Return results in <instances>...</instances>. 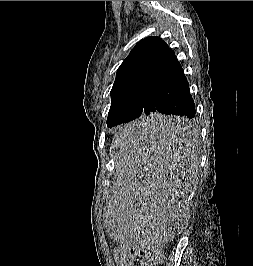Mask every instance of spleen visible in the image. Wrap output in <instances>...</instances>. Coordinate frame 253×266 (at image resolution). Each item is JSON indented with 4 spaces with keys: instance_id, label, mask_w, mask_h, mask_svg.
Returning a JSON list of instances; mask_svg holds the SVG:
<instances>
[{
    "instance_id": "obj_1",
    "label": "spleen",
    "mask_w": 253,
    "mask_h": 266,
    "mask_svg": "<svg viewBox=\"0 0 253 266\" xmlns=\"http://www.w3.org/2000/svg\"><path fill=\"white\" fill-rule=\"evenodd\" d=\"M192 123L174 111H151L126 123L113 135L111 155L116 161L118 190L104 210L108 242L119 248H166L173 235H183L188 199L197 182L193 159Z\"/></svg>"
}]
</instances>
